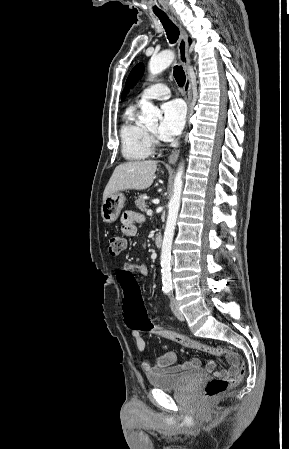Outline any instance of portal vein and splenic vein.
I'll return each mask as SVG.
<instances>
[{"instance_id":"18ae733b","label":"portal vein and splenic vein","mask_w":289,"mask_h":449,"mask_svg":"<svg viewBox=\"0 0 289 449\" xmlns=\"http://www.w3.org/2000/svg\"><path fill=\"white\" fill-rule=\"evenodd\" d=\"M146 214H147L148 216H151V215H152V210H151V209H148V210L146 211Z\"/></svg>"}]
</instances>
